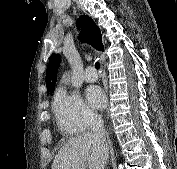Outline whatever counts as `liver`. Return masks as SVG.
Returning a JSON list of instances; mask_svg holds the SVG:
<instances>
[{"label": "liver", "instance_id": "obj_1", "mask_svg": "<svg viewBox=\"0 0 177 169\" xmlns=\"http://www.w3.org/2000/svg\"><path fill=\"white\" fill-rule=\"evenodd\" d=\"M110 142L90 132L70 139L55 156L51 169H104Z\"/></svg>", "mask_w": 177, "mask_h": 169}]
</instances>
